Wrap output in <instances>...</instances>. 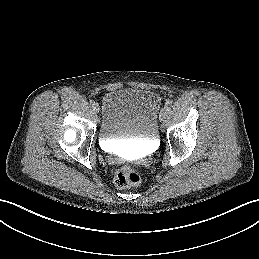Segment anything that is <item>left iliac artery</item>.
<instances>
[{"label":"left iliac artery","instance_id":"obj_1","mask_svg":"<svg viewBox=\"0 0 259 259\" xmlns=\"http://www.w3.org/2000/svg\"><path fill=\"white\" fill-rule=\"evenodd\" d=\"M170 106H171V102H170V101H167L164 108L167 109V110H169V109H170Z\"/></svg>","mask_w":259,"mask_h":259}]
</instances>
